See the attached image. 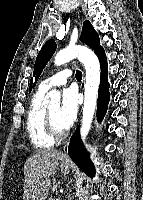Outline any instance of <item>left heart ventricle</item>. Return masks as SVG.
Masks as SVG:
<instances>
[{
    "label": "left heart ventricle",
    "mask_w": 143,
    "mask_h": 200,
    "mask_svg": "<svg viewBox=\"0 0 143 200\" xmlns=\"http://www.w3.org/2000/svg\"><path fill=\"white\" fill-rule=\"evenodd\" d=\"M59 106H55V107H51L49 108V113H50V116H51V119H52V122H53V125L55 127V129L58 131V132H62L64 130H66L63 125L61 124L60 120H59Z\"/></svg>",
    "instance_id": "1"
}]
</instances>
